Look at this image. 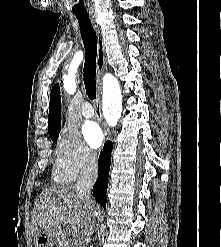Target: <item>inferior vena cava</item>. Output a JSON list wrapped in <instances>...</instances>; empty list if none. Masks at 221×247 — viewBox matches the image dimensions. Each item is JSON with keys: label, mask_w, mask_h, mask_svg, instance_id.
<instances>
[{"label": "inferior vena cava", "mask_w": 221, "mask_h": 247, "mask_svg": "<svg viewBox=\"0 0 221 247\" xmlns=\"http://www.w3.org/2000/svg\"><path fill=\"white\" fill-rule=\"evenodd\" d=\"M98 164L96 155L87 153L80 176L75 185L76 192L86 207L87 232L75 238L74 247H88L90 236L95 225L96 212L94 211V201L92 200L91 190L97 179Z\"/></svg>", "instance_id": "602c4592"}]
</instances>
